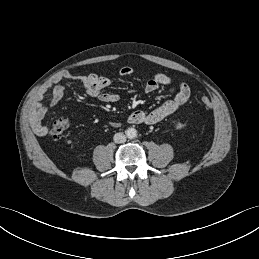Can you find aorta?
<instances>
[{"instance_id": "aorta-1", "label": "aorta", "mask_w": 259, "mask_h": 259, "mask_svg": "<svg viewBox=\"0 0 259 259\" xmlns=\"http://www.w3.org/2000/svg\"><path fill=\"white\" fill-rule=\"evenodd\" d=\"M126 136L129 138V139H133L137 136V131L136 129L134 128H128L126 130Z\"/></svg>"}]
</instances>
